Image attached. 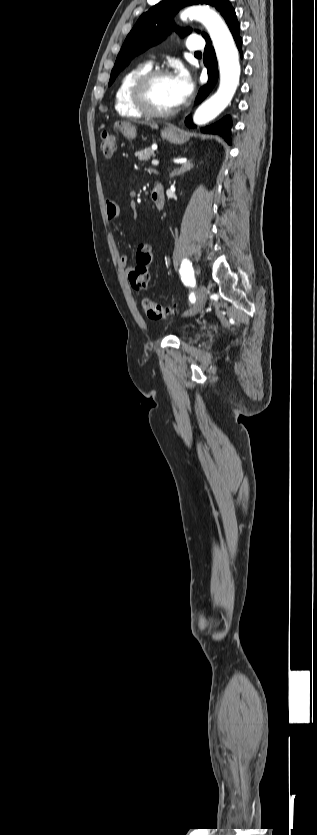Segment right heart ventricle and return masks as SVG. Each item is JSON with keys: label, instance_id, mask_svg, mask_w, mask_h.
<instances>
[{"label": "right heart ventricle", "instance_id": "obj_1", "mask_svg": "<svg viewBox=\"0 0 317 835\" xmlns=\"http://www.w3.org/2000/svg\"><path fill=\"white\" fill-rule=\"evenodd\" d=\"M150 69L149 64H139L122 76L115 92V109L122 116L132 118L145 116L133 103L131 90L136 80Z\"/></svg>", "mask_w": 317, "mask_h": 835}]
</instances>
